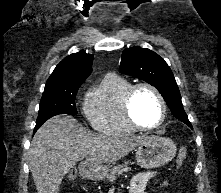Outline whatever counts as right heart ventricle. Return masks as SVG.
I'll list each match as a JSON object with an SVG mask.
<instances>
[{"label": "right heart ventricle", "instance_id": "e07e8e85", "mask_svg": "<svg viewBox=\"0 0 221 193\" xmlns=\"http://www.w3.org/2000/svg\"><path fill=\"white\" fill-rule=\"evenodd\" d=\"M131 85L122 77L108 75L99 89L86 98L84 114L95 130L106 134H131L136 131L123 110V100Z\"/></svg>", "mask_w": 221, "mask_h": 193}]
</instances>
